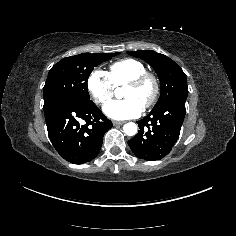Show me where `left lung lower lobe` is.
<instances>
[{
  "label": "left lung lower lobe",
  "instance_id": "1",
  "mask_svg": "<svg viewBox=\"0 0 236 236\" xmlns=\"http://www.w3.org/2000/svg\"><path fill=\"white\" fill-rule=\"evenodd\" d=\"M186 97H177L137 121L140 130L128 141L133 153L146 161L160 160L179 138Z\"/></svg>",
  "mask_w": 236,
  "mask_h": 236
}]
</instances>
